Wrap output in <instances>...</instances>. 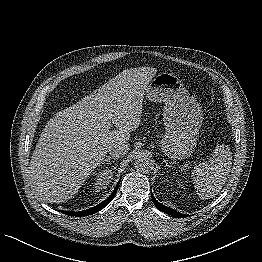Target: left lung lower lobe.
Returning a JSON list of instances; mask_svg holds the SVG:
<instances>
[{
  "instance_id": "1",
  "label": "left lung lower lobe",
  "mask_w": 262,
  "mask_h": 262,
  "mask_svg": "<svg viewBox=\"0 0 262 262\" xmlns=\"http://www.w3.org/2000/svg\"><path fill=\"white\" fill-rule=\"evenodd\" d=\"M152 199H153V201H154L155 206H156L158 209H160L161 211H163V212L171 215L172 217H175V218H184V217L187 216V215H184V214H182V213H179V212L173 210V209L170 208V207H167V206L162 205L161 203H159L158 201H156V200L154 199L153 195H152Z\"/></svg>"
}]
</instances>
